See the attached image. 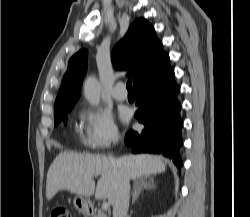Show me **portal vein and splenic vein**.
<instances>
[{
	"label": "portal vein and splenic vein",
	"mask_w": 250,
	"mask_h": 217,
	"mask_svg": "<svg viewBox=\"0 0 250 217\" xmlns=\"http://www.w3.org/2000/svg\"><path fill=\"white\" fill-rule=\"evenodd\" d=\"M109 208V203L108 202H103V204L101 205V209L102 210H107Z\"/></svg>",
	"instance_id": "1"
}]
</instances>
